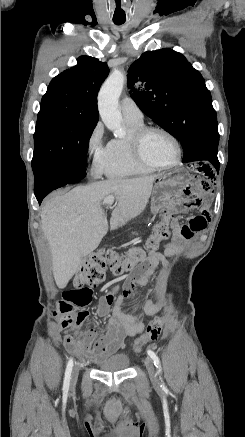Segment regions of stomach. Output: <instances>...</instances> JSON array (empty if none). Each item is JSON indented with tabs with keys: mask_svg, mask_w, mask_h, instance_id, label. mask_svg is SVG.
<instances>
[{
	"mask_svg": "<svg viewBox=\"0 0 245 437\" xmlns=\"http://www.w3.org/2000/svg\"><path fill=\"white\" fill-rule=\"evenodd\" d=\"M188 183V177L181 170H174L159 175L155 179L151 195V208L154 212L163 208L173 192L184 188Z\"/></svg>",
	"mask_w": 245,
	"mask_h": 437,
	"instance_id": "obj_1",
	"label": "stomach"
}]
</instances>
